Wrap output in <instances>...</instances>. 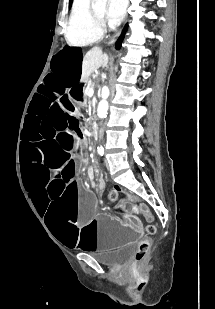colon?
Masks as SVG:
<instances>
[{"label":"colon","instance_id":"5ec220e1","mask_svg":"<svg viewBox=\"0 0 215 309\" xmlns=\"http://www.w3.org/2000/svg\"><path fill=\"white\" fill-rule=\"evenodd\" d=\"M118 196V192L117 190H111L109 193V199L114 202L116 200ZM147 232L150 235H153L156 231V227L153 224H148L146 226ZM150 249V239L149 238H144L138 241L137 243V248H136V253L135 256L137 258L138 261L141 260H145L147 255H148V251Z\"/></svg>","mask_w":215,"mask_h":309}]
</instances>
